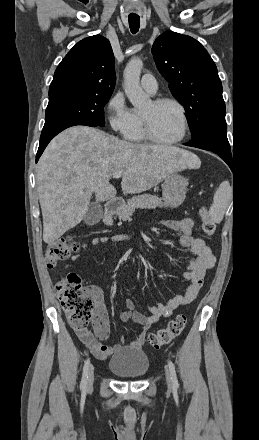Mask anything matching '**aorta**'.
I'll return each mask as SVG.
<instances>
[{
	"label": "aorta",
	"instance_id": "1",
	"mask_svg": "<svg viewBox=\"0 0 259 440\" xmlns=\"http://www.w3.org/2000/svg\"><path fill=\"white\" fill-rule=\"evenodd\" d=\"M143 62L140 58H132L124 69V91L130 103L136 109H143L150 103V97L140 87V74Z\"/></svg>",
	"mask_w": 259,
	"mask_h": 440
}]
</instances>
